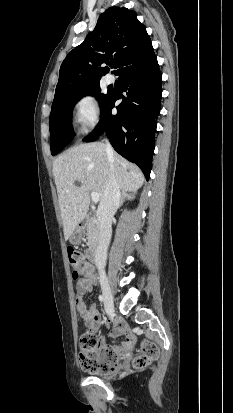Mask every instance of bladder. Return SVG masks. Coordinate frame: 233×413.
Returning <instances> with one entry per match:
<instances>
[{"instance_id": "bladder-1", "label": "bladder", "mask_w": 233, "mask_h": 413, "mask_svg": "<svg viewBox=\"0 0 233 413\" xmlns=\"http://www.w3.org/2000/svg\"><path fill=\"white\" fill-rule=\"evenodd\" d=\"M110 374H111V372H108V373H103V374H97V376H108Z\"/></svg>"}]
</instances>
